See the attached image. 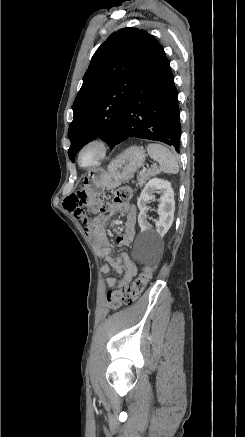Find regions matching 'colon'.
Here are the masks:
<instances>
[{"instance_id": "colon-1", "label": "colon", "mask_w": 245, "mask_h": 437, "mask_svg": "<svg viewBox=\"0 0 245 437\" xmlns=\"http://www.w3.org/2000/svg\"><path fill=\"white\" fill-rule=\"evenodd\" d=\"M131 196L132 190L129 187H122L115 192L113 202L120 204L129 203ZM108 209L109 204L102 203L99 206V216H103ZM154 272V266H146L131 285L115 291H109L106 295V302L109 309L117 310L122 305H130L136 301L153 277Z\"/></svg>"}]
</instances>
